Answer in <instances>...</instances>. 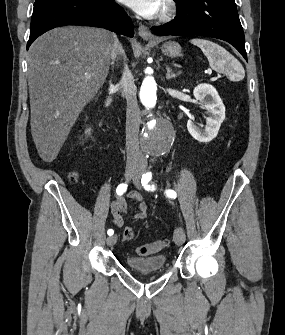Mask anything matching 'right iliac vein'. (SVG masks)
<instances>
[{
  "instance_id": "right-iliac-vein-1",
  "label": "right iliac vein",
  "mask_w": 285,
  "mask_h": 335,
  "mask_svg": "<svg viewBox=\"0 0 285 335\" xmlns=\"http://www.w3.org/2000/svg\"><path fill=\"white\" fill-rule=\"evenodd\" d=\"M125 176L127 179H131L133 177H136L137 173L135 172L134 169L127 168L125 171ZM116 241H117V235H113L107 238V244L109 246H113L116 243Z\"/></svg>"
}]
</instances>
